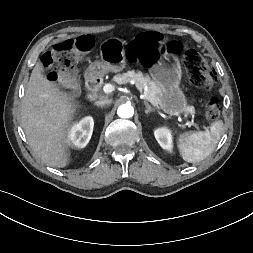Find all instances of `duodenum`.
I'll return each instance as SVG.
<instances>
[{
	"mask_svg": "<svg viewBox=\"0 0 253 253\" xmlns=\"http://www.w3.org/2000/svg\"><path fill=\"white\" fill-rule=\"evenodd\" d=\"M100 87V79L96 76H91L87 79V88L91 99H96Z\"/></svg>",
	"mask_w": 253,
	"mask_h": 253,
	"instance_id": "obj_1",
	"label": "duodenum"
}]
</instances>
